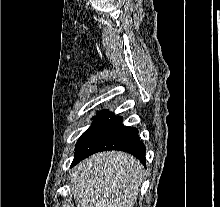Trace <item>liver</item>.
<instances>
[{"instance_id": "6515ba94", "label": "liver", "mask_w": 220, "mask_h": 207, "mask_svg": "<svg viewBox=\"0 0 220 207\" xmlns=\"http://www.w3.org/2000/svg\"><path fill=\"white\" fill-rule=\"evenodd\" d=\"M144 176L134 156L107 151L78 164L70 187L77 207H134Z\"/></svg>"}]
</instances>
